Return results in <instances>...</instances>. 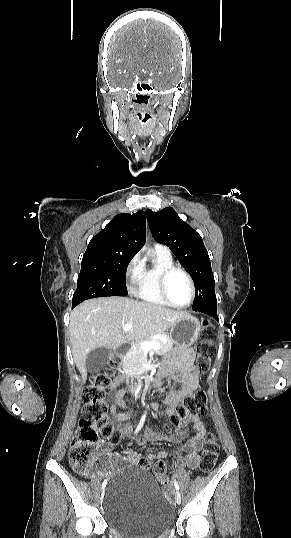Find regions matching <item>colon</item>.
Returning <instances> with one entry per match:
<instances>
[{
	"label": "colon",
	"mask_w": 291,
	"mask_h": 538,
	"mask_svg": "<svg viewBox=\"0 0 291 538\" xmlns=\"http://www.w3.org/2000/svg\"><path fill=\"white\" fill-rule=\"evenodd\" d=\"M216 333L213 327L204 324L201 331V342L196 347L195 365L198 371L205 374L214 355L213 341ZM121 358L114 355L109 360V366L103 372L96 373L90 378V383L83 393L84 408L79 420L75 440L69 451V461L73 469L80 475H89L99 467L98 445L101 439L116 440L118 435L113 424L108 419L107 394L112 383V377L121 367ZM207 413V397L203 391L187 395L178 405L171 416V423L179 425L188 416ZM219 445L213 433H207L201 455L200 469L209 472L217 460ZM138 465L144 470L152 469L162 484H168L166 465L163 461L151 463L141 457Z\"/></svg>",
	"instance_id": "5ec220e1"
}]
</instances>
